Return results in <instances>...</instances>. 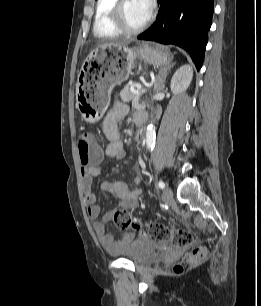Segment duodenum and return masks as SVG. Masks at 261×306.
Here are the masks:
<instances>
[{
	"instance_id": "410a0bca",
	"label": "duodenum",
	"mask_w": 261,
	"mask_h": 306,
	"mask_svg": "<svg viewBox=\"0 0 261 306\" xmlns=\"http://www.w3.org/2000/svg\"><path fill=\"white\" fill-rule=\"evenodd\" d=\"M146 120H147V115H146V113H144V112L136 114V116H135V118H134L135 124H136L137 126H142V125H144V123L146 122Z\"/></svg>"
}]
</instances>
